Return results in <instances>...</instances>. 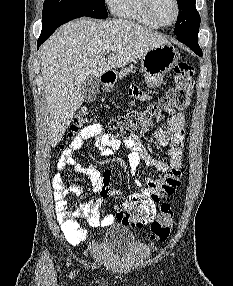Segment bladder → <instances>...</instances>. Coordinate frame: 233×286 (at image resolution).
I'll return each mask as SVG.
<instances>
[{
	"instance_id": "1",
	"label": "bladder",
	"mask_w": 233,
	"mask_h": 286,
	"mask_svg": "<svg viewBox=\"0 0 233 286\" xmlns=\"http://www.w3.org/2000/svg\"><path fill=\"white\" fill-rule=\"evenodd\" d=\"M136 244L133 232L125 226L111 227L101 240V248L107 256H124Z\"/></svg>"
}]
</instances>
